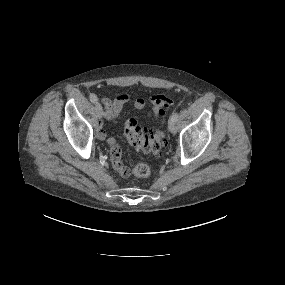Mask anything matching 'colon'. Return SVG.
Instances as JSON below:
<instances>
[{"label": "colon", "instance_id": "1", "mask_svg": "<svg viewBox=\"0 0 285 285\" xmlns=\"http://www.w3.org/2000/svg\"><path fill=\"white\" fill-rule=\"evenodd\" d=\"M150 102L153 115L157 120H160L172 105V100L164 94L152 95ZM124 133L131 145L148 154H159L166 143L165 134L160 128L144 129L135 118L126 120ZM133 174L137 177H149L151 169L146 163L140 162L133 168Z\"/></svg>", "mask_w": 285, "mask_h": 285}]
</instances>
